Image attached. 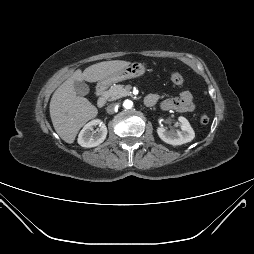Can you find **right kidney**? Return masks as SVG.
<instances>
[{"mask_svg": "<svg viewBox=\"0 0 254 254\" xmlns=\"http://www.w3.org/2000/svg\"><path fill=\"white\" fill-rule=\"evenodd\" d=\"M97 125L99 128L93 131ZM107 132L105 124L99 119H94L87 123L79 133L78 144L86 148L98 146L106 139Z\"/></svg>", "mask_w": 254, "mask_h": 254, "instance_id": "right-kidney-1", "label": "right kidney"}]
</instances>
